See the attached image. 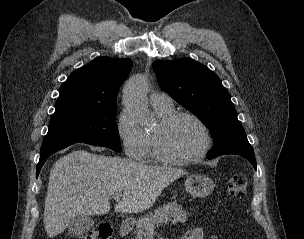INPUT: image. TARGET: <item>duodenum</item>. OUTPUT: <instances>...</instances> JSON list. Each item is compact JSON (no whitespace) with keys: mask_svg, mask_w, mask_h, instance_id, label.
I'll use <instances>...</instances> for the list:
<instances>
[{"mask_svg":"<svg viewBox=\"0 0 304 239\" xmlns=\"http://www.w3.org/2000/svg\"><path fill=\"white\" fill-rule=\"evenodd\" d=\"M133 226H134V222L130 219H126V220L122 221L120 228H119L120 235L125 236L128 233H130L131 230L133 229Z\"/></svg>","mask_w":304,"mask_h":239,"instance_id":"obj_1","label":"duodenum"}]
</instances>
